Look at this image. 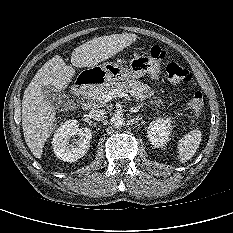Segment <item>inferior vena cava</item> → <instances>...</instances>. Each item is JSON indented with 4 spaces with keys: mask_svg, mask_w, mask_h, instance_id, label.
Returning a JSON list of instances; mask_svg holds the SVG:
<instances>
[{
    "mask_svg": "<svg viewBox=\"0 0 233 233\" xmlns=\"http://www.w3.org/2000/svg\"><path fill=\"white\" fill-rule=\"evenodd\" d=\"M89 117L96 121H103L106 117V112L103 109H92L89 112Z\"/></svg>",
    "mask_w": 233,
    "mask_h": 233,
    "instance_id": "obj_1",
    "label": "inferior vena cava"
}]
</instances>
